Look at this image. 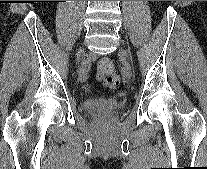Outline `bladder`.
Returning <instances> with one entry per match:
<instances>
[{
  "label": "bladder",
  "instance_id": "1",
  "mask_svg": "<svg viewBox=\"0 0 207 169\" xmlns=\"http://www.w3.org/2000/svg\"><path fill=\"white\" fill-rule=\"evenodd\" d=\"M83 107L88 112L116 111L122 107V102L116 98L88 97Z\"/></svg>",
  "mask_w": 207,
  "mask_h": 169
}]
</instances>
